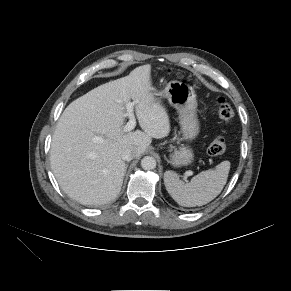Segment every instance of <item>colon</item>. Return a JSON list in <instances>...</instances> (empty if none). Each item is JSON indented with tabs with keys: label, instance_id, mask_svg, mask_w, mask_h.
<instances>
[{
	"label": "colon",
	"instance_id": "colon-1",
	"mask_svg": "<svg viewBox=\"0 0 291 291\" xmlns=\"http://www.w3.org/2000/svg\"><path fill=\"white\" fill-rule=\"evenodd\" d=\"M218 114L221 120L225 123H228L233 117V108L229 102L224 97H219L217 99ZM227 145L225 138L218 136L212 140L208 147V153L211 156H218L223 154L226 151Z\"/></svg>",
	"mask_w": 291,
	"mask_h": 291
}]
</instances>
